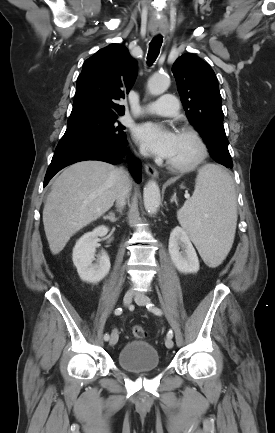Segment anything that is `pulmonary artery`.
Here are the masks:
<instances>
[{"label": "pulmonary artery", "instance_id": "1", "mask_svg": "<svg viewBox=\"0 0 275 433\" xmlns=\"http://www.w3.org/2000/svg\"><path fill=\"white\" fill-rule=\"evenodd\" d=\"M178 111V100L171 94H165L158 100L151 102L142 108V113H151L161 116H174Z\"/></svg>", "mask_w": 275, "mask_h": 433}]
</instances>
